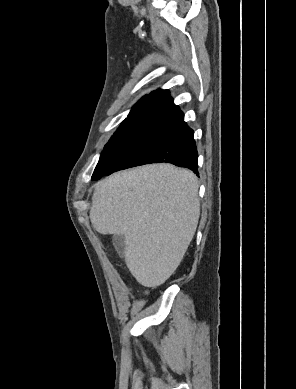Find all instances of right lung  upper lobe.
<instances>
[{
  "instance_id": "obj_1",
  "label": "right lung upper lobe",
  "mask_w": 296,
  "mask_h": 389,
  "mask_svg": "<svg viewBox=\"0 0 296 389\" xmlns=\"http://www.w3.org/2000/svg\"><path fill=\"white\" fill-rule=\"evenodd\" d=\"M144 116L163 117L178 121L184 119L183 113L169 96L168 90H156L144 96L134 105L126 119Z\"/></svg>"
}]
</instances>
